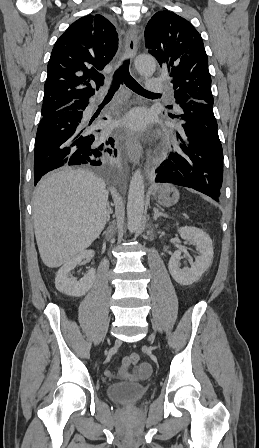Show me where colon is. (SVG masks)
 Segmentation results:
<instances>
[{
	"mask_svg": "<svg viewBox=\"0 0 259 448\" xmlns=\"http://www.w3.org/2000/svg\"><path fill=\"white\" fill-rule=\"evenodd\" d=\"M128 360L131 364H137L140 360V357L137 353H132L128 356Z\"/></svg>",
	"mask_w": 259,
	"mask_h": 448,
	"instance_id": "5ec220e1",
	"label": "colon"
}]
</instances>
